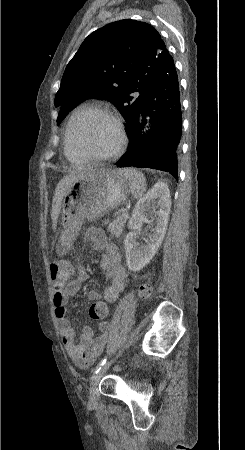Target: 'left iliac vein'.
Masks as SVG:
<instances>
[{
  "instance_id": "4c4485c4",
  "label": "left iliac vein",
  "mask_w": 245,
  "mask_h": 450,
  "mask_svg": "<svg viewBox=\"0 0 245 450\" xmlns=\"http://www.w3.org/2000/svg\"><path fill=\"white\" fill-rule=\"evenodd\" d=\"M116 357L112 358L110 361H108L101 369L100 371L94 375L92 378L90 387H89V395H90V402L94 403L96 400V392H97V386L100 381V379L103 377V375L107 372L108 368L111 366V364L115 361Z\"/></svg>"
}]
</instances>
